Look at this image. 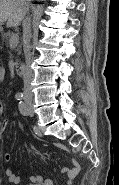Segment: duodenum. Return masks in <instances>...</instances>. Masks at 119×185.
Returning <instances> with one entry per match:
<instances>
[{"label":"duodenum","instance_id":"1","mask_svg":"<svg viewBox=\"0 0 119 185\" xmlns=\"http://www.w3.org/2000/svg\"><path fill=\"white\" fill-rule=\"evenodd\" d=\"M16 72L19 76L24 77L27 73V65L25 63L17 64Z\"/></svg>","mask_w":119,"mask_h":185}]
</instances>
